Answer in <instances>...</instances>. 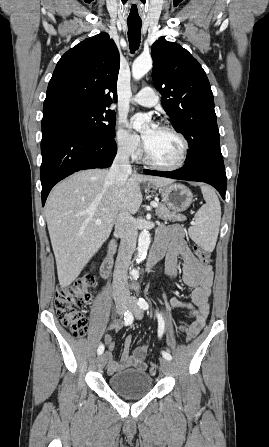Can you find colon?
I'll return each mask as SVG.
<instances>
[{"mask_svg":"<svg viewBox=\"0 0 269 447\" xmlns=\"http://www.w3.org/2000/svg\"><path fill=\"white\" fill-rule=\"evenodd\" d=\"M196 258L208 264L211 255L199 246L193 247ZM95 290L93 278L89 275L79 277L68 287H59L55 291L54 307L62 325L68 328L75 337H83L88 332V319L85 316V307L92 300ZM186 343H191V336H186ZM142 353L138 351L137 355ZM149 375L157 373V365L149 364L147 367Z\"/></svg>","mask_w":269,"mask_h":447,"instance_id":"1","label":"colon"}]
</instances>
